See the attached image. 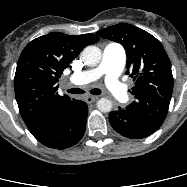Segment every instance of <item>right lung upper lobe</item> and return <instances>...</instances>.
<instances>
[{
	"label": "right lung upper lobe",
	"instance_id": "cb5924a9",
	"mask_svg": "<svg viewBox=\"0 0 187 187\" xmlns=\"http://www.w3.org/2000/svg\"><path fill=\"white\" fill-rule=\"evenodd\" d=\"M99 38L52 32L32 40L22 51L14 78L20 114L29 131L35 133L75 99L57 92L59 77L87 45Z\"/></svg>",
	"mask_w": 187,
	"mask_h": 187
}]
</instances>
